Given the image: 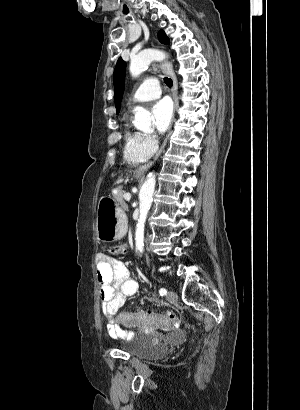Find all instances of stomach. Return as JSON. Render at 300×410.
<instances>
[{
	"instance_id": "obj_1",
	"label": "stomach",
	"mask_w": 300,
	"mask_h": 410,
	"mask_svg": "<svg viewBox=\"0 0 300 410\" xmlns=\"http://www.w3.org/2000/svg\"><path fill=\"white\" fill-rule=\"evenodd\" d=\"M127 228L124 211L110 197L101 198L97 208L96 231L100 241L112 242L121 239Z\"/></svg>"
}]
</instances>
